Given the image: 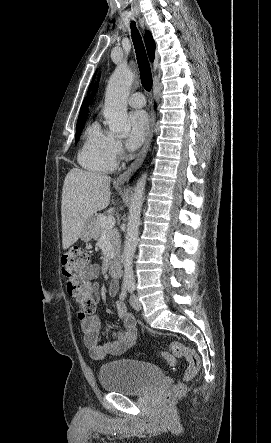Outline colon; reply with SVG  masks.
<instances>
[{
	"instance_id": "5ec220e1",
	"label": "colon",
	"mask_w": 271,
	"mask_h": 443,
	"mask_svg": "<svg viewBox=\"0 0 271 443\" xmlns=\"http://www.w3.org/2000/svg\"><path fill=\"white\" fill-rule=\"evenodd\" d=\"M90 251L83 247H74L62 255V272L67 279V291L87 314L96 311L93 285L86 278L84 271L90 263ZM171 354L162 352V359L169 366L174 365L175 358H184L188 367L184 373V380L193 379L200 370V359L197 353L185 344L174 341L170 344ZM185 386L179 383L173 386L164 396L166 403H172L184 392Z\"/></svg>"
}]
</instances>
